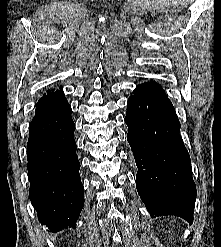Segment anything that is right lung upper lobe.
Segmentation results:
<instances>
[{"instance_id":"right-lung-upper-lobe-1","label":"right lung upper lobe","mask_w":221,"mask_h":247,"mask_svg":"<svg viewBox=\"0 0 221 247\" xmlns=\"http://www.w3.org/2000/svg\"><path fill=\"white\" fill-rule=\"evenodd\" d=\"M54 90L52 89V91L48 90L47 93L53 92Z\"/></svg>"}]
</instances>
